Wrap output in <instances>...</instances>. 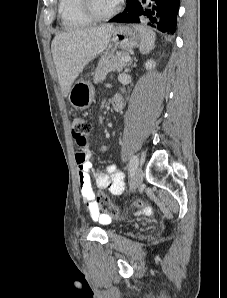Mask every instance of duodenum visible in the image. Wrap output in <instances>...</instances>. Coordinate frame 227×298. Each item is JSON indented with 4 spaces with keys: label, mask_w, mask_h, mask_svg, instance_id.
<instances>
[{
    "label": "duodenum",
    "mask_w": 227,
    "mask_h": 298,
    "mask_svg": "<svg viewBox=\"0 0 227 298\" xmlns=\"http://www.w3.org/2000/svg\"><path fill=\"white\" fill-rule=\"evenodd\" d=\"M112 107L116 111H119V110L122 109V107H123V100H122V97L121 96L115 95L112 98Z\"/></svg>",
    "instance_id": "duodenum-1"
}]
</instances>
